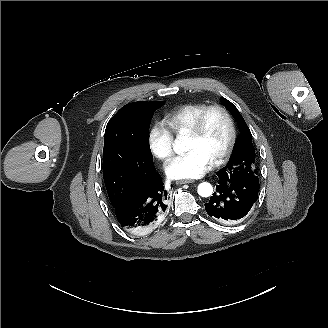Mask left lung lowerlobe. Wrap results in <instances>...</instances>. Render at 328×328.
<instances>
[{
    "instance_id": "1",
    "label": "left lung lower lobe",
    "mask_w": 328,
    "mask_h": 328,
    "mask_svg": "<svg viewBox=\"0 0 328 328\" xmlns=\"http://www.w3.org/2000/svg\"><path fill=\"white\" fill-rule=\"evenodd\" d=\"M219 184L216 192L205 204L206 212L220 223H231L248 214L256 202L259 191L258 178L225 176L217 173Z\"/></svg>"
}]
</instances>
